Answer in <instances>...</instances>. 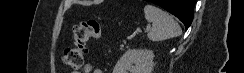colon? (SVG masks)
I'll return each mask as SVG.
<instances>
[{
    "instance_id": "colon-1",
    "label": "colon",
    "mask_w": 244,
    "mask_h": 73,
    "mask_svg": "<svg viewBox=\"0 0 244 73\" xmlns=\"http://www.w3.org/2000/svg\"><path fill=\"white\" fill-rule=\"evenodd\" d=\"M102 26L97 20H85L73 28V44L63 53V61L74 71H78L84 64L87 44L92 39H99Z\"/></svg>"
}]
</instances>
